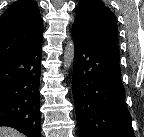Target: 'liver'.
Returning <instances> with one entry per match:
<instances>
[{"label":"liver","mask_w":144,"mask_h":137,"mask_svg":"<svg viewBox=\"0 0 144 137\" xmlns=\"http://www.w3.org/2000/svg\"><path fill=\"white\" fill-rule=\"evenodd\" d=\"M0 137H23V134L11 127H0Z\"/></svg>","instance_id":"1"}]
</instances>
